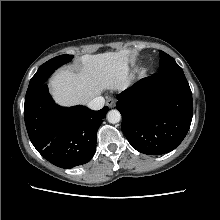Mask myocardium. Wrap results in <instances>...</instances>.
I'll return each mask as SVG.
<instances>
[{
  "label": "myocardium",
  "instance_id": "f54148a6",
  "mask_svg": "<svg viewBox=\"0 0 220 220\" xmlns=\"http://www.w3.org/2000/svg\"><path fill=\"white\" fill-rule=\"evenodd\" d=\"M145 72H146V71H145V70H143V71H142V74H145Z\"/></svg>",
  "mask_w": 220,
  "mask_h": 220
}]
</instances>
